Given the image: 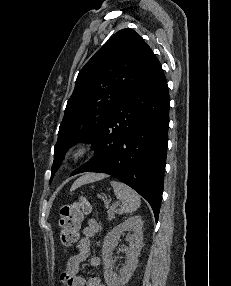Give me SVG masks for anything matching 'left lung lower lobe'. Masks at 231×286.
<instances>
[{
    "label": "left lung lower lobe",
    "mask_w": 231,
    "mask_h": 286,
    "mask_svg": "<svg viewBox=\"0 0 231 286\" xmlns=\"http://www.w3.org/2000/svg\"><path fill=\"white\" fill-rule=\"evenodd\" d=\"M169 93L160 62L118 102L90 141L96 154L71 175L103 172L151 205L158 220L168 144Z\"/></svg>",
    "instance_id": "obj_1"
}]
</instances>
